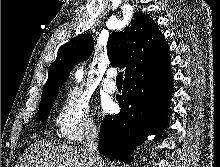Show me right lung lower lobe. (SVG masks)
Here are the masks:
<instances>
[{
	"label": "right lung lower lobe",
	"instance_id": "98d812e1",
	"mask_svg": "<svg viewBox=\"0 0 220 167\" xmlns=\"http://www.w3.org/2000/svg\"><path fill=\"white\" fill-rule=\"evenodd\" d=\"M169 62L125 77L122 95L116 97L120 112L107 115L101 124L98 147L103 156L130 163L137 144L147 135L160 136L173 87Z\"/></svg>",
	"mask_w": 220,
	"mask_h": 167
}]
</instances>
